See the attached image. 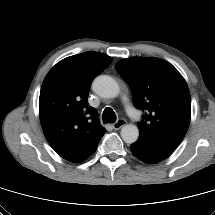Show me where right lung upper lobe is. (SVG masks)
<instances>
[{
	"label": "right lung upper lobe",
	"mask_w": 215,
	"mask_h": 215,
	"mask_svg": "<svg viewBox=\"0 0 215 215\" xmlns=\"http://www.w3.org/2000/svg\"><path fill=\"white\" fill-rule=\"evenodd\" d=\"M111 61L105 54L87 51L61 60L43 81L39 98L42 129L51 147L70 162L86 160L106 132L87 100L92 80Z\"/></svg>",
	"instance_id": "obj_1"
}]
</instances>
